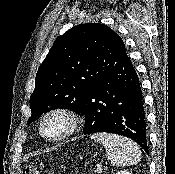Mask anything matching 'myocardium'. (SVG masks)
Masks as SVG:
<instances>
[{
    "label": "myocardium",
    "instance_id": "1",
    "mask_svg": "<svg viewBox=\"0 0 175 174\" xmlns=\"http://www.w3.org/2000/svg\"><path fill=\"white\" fill-rule=\"evenodd\" d=\"M53 115L64 116L68 120V127L66 128L64 132H62L61 134L57 136H48L44 132V123L50 116H53ZM79 125H80V116L76 111H74L73 109L69 107L58 106V107H54L48 110L41 117L40 122H39V132L41 136L45 138L46 140L50 142H59L73 135L77 131Z\"/></svg>",
    "mask_w": 175,
    "mask_h": 174
}]
</instances>
